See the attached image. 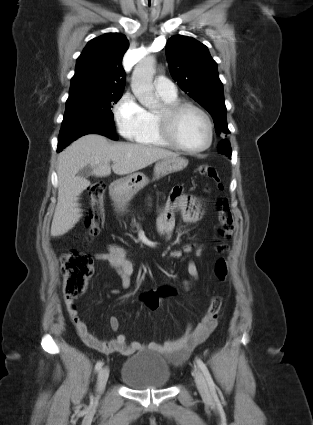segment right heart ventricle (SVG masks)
Wrapping results in <instances>:
<instances>
[{"label": "right heart ventricle", "instance_id": "obj_1", "mask_svg": "<svg viewBox=\"0 0 313 425\" xmlns=\"http://www.w3.org/2000/svg\"><path fill=\"white\" fill-rule=\"evenodd\" d=\"M165 105L177 103V98H168L159 95ZM149 114V128L147 131L140 136L137 141L143 145L152 146V147H167L171 148L169 144H167L159 134L158 131V122H157V113L148 112Z\"/></svg>", "mask_w": 313, "mask_h": 425}]
</instances>
